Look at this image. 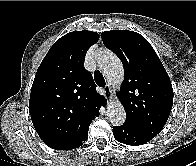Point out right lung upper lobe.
<instances>
[{
    "instance_id": "1",
    "label": "right lung upper lobe",
    "mask_w": 196,
    "mask_h": 166,
    "mask_svg": "<svg viewBox=\"0 0 196 166\" xmlns=\"http://www.w3.org/2000/svg\"><path fill=\"white\" fill-rule=\"evenodd\" d=\"M91 31H73L57 40L41 62L32 85L29 111L43 141L81 140L106 104L84 67L87 50L98 41Z\"/></svg>"
}]
</instances>
